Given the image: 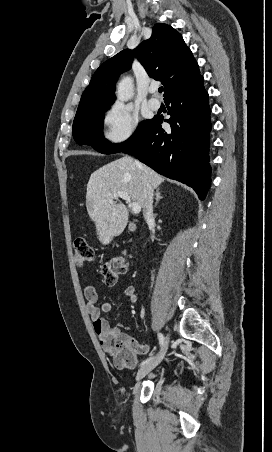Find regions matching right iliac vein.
<instances>
[{
  "label": "right iliac vein",
  "instance_id": "obj_1",
  "mask_svg": "<svg viewBox=\"0 0 272 452\" xmlns=\"http://www.w3.org/2000/svg\"><path fill=\"white\" fill-rule=\"evenodd\" d=\"M168 342H169V336L167 334L160 353L153 360L144 364L138 370L137 375H136V381H139L143 377H145L149 372H151L163 360V358L167 352Z\"/></svg>",
  "mask_w": 272,
  "mask_h": 452
}]
</instances>
